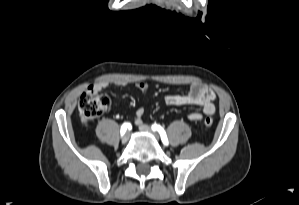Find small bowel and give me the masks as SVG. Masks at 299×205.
I'll list each match as a JSON object with an SVG mask.
<instances>
[{"label": "small bowel", "instance_id": "c3829d8e", "mask_svg": "<svg viewBox=\"0 0 299 205\" xmlns=\"http://www.w3.org/2000/svg\"><path fill=\"white\" fill-rule=\"evenodd\" d=\"M138 90L142 95H145L148 90V85L146 83L140 82L136 84ZM107 87L106 82H98L93 85V89L96 91H101ZM216 99L215 93L198 83L191 85L190 90L185 94H168L165 96L164 101L167 105L171 106H181V105H197L202 107L203 114L206 116H211L215 113ZM145 114L144 108L140 107L136 111V124L142 123ZM203 114L199 112H192L189 114L188 118L191 121H200L203 118Z\"/></svg>", "mask_w": 299, "mask_h": 205}]
</instances>
